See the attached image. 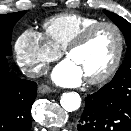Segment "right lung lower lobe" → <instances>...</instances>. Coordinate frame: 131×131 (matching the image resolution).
<instances>
[{"instance_id":"98d812e1","label":"right lung lower lobe","mask_w":131,"mask_h":131,"mask_svg":"<svg viewBox=\"0 0 131 131\" xmlns=\"http://www.w3.org/2000/svg\"><path fill=\"white\" fill-rule=\"evenodd\" d=\"M37 84L9 73L7 55L0 54V131H30Z\"/></svg>"}]
</instances>
